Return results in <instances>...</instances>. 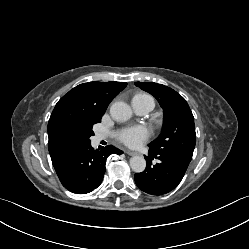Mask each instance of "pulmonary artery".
I'll return each instance as SVG.
<instances>
[{
	"mask_svg": "<svg viewBox=\"0 0 249 249\" xmlns=\"http://www.w3.org/2000/svg\"><path fill=\"white\" fill-rule=\"evenodd\" d=\"M132 106L136 113L140 115H146L154 108V100L152 98L133 100Z\"/></svg>",
	"mask_w": 249,
	"mask_h": 249,
	"instance_id": "obj_1",
	"label": "pulmonary artery"
}]
</instances>
